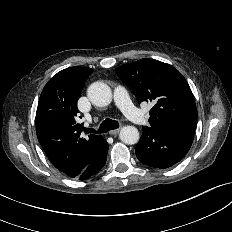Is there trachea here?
Returning a JSON list of instances; mask_svg holds the SVG:
<instances>
[{
  "label": "trachea",
  "instance_id": "1",
  "mask_svg": "<svg viewBox=\"0 0 232 232\" xmlns=\"http://www.w3.org/2000/svg\"><path fill=\"white\" fill-rule=\"evenodd\" d=\"M119 127L118 121L106 118L101 124L99 129L96 131L91 128H85L86 133H106L110 130L117 129Z\"/></svg>",
  "mask_w": 232,
  "mask_h": 232
}]
</instances>
